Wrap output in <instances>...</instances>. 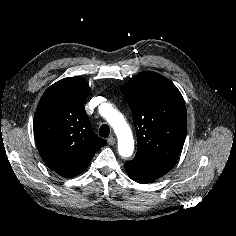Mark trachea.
I'll return each instance as SVG.
<instances>
[{
    "instance_id": "3493384b",
    "label": "trachea",
    "mask_w": 236,
    "mask_h": 236,
    "mask_svg": "<svg viewBox=\"0 0 236 236\" xmlns=\"http://www.w3.org/2000/svg\"><path fill=\"white\" fill-rule=\"evenodd\" d=\"M110 134V128L107 124H103L101 125L100 129H99V135L101 137L107 138Z\"/></svg>"
}]
</instances>
